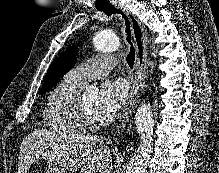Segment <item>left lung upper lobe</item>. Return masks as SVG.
<instances>
[{
  "label": "left lung upper lobe",
  "mask_w": 219,
  "mask_h": 173,
  "mask_svg": "<svg viewBox=\"0 0 219 173\" xmlns=\"http://www.w3.org/2000/svg\"><path fill=\"white\" fill-rule=\"evenodd\" d=\"M77 51V47L71 46L54 59L48 69L40 94L50 90L64 74L74 67Z\"/></svg>",
  "instance_id": "1"
}]
</instances>
